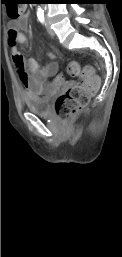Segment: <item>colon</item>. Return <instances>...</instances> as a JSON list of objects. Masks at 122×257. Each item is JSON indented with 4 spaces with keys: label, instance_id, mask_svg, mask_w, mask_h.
I'll return each instance as SVG.
<instances>
[{
    "label": "colon",
    "instance_id": "obj_1",
    "mask_svg": "<svg viewBox=\"0 0 122 257\" xmlns=\"http://www.w3.org/2000/svg\"><path fill=\"white\" fill-rule=\"evenodd\" d=\"M5 10H9V16L12 19L19 17V5H5ZM67 70L71 76L81 79L80 85L66 90L64 81L66 74H53V79L48 85V90H66L55 102L56 115L64 122L69 121L87 105L100 83L91 67L82 68L78 62L73 61L69 63Z\"/></svg>",
    "mask_w": 122,
    "mask_h": 257
}]
</instances>
